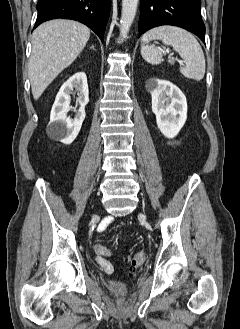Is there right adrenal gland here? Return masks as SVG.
I'll use <instances>...</instances> for the list:
<instances>
[{
	"mask_svg": "<svg viewBox=\"0 0 240 329\" xmlns=\"http://www.w3.org/2000/svg\"><path fill=\"white\" fill-rule=\"evenodd\" d=\"M91 49H93L95 51L94 45L91 46Z\"/></svg>",
	"mask_w": 240,
	"mask_h": 329,
	"instance_id": "1",
	"label": "right adrenal gland"
}]
</instances>
